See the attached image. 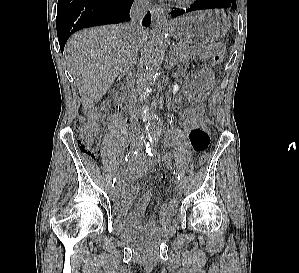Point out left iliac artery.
<instances>
[{"instance_id": "1", "label": "left iliac artery", "mask_w": 299, "mask_h": 273, "mask_svg": "<svg viewBox=\"0 0 299 273\" xmlns=\"http://www.w3.org/2000/svg\"><path fill=\"white\" fill-rule=\"evenodd\" d=\"M146 153L150 156H154V154L156 153L155 150L151 148V145L149 143L146 145ZM174 175L177 180H180V175L175 170Z\"/></svg>"}]
</instances>
